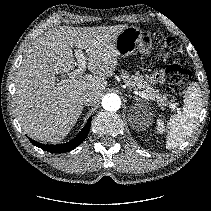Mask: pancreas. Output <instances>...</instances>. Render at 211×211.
Wrapping results in <instances>:
<instances>
[{
  "instance_id": "pancreas-1",
  "label": "pancreas",
  "mask_w": 211,
  "mask_h": 211,
  "mask_svg": "<svg viewBox=\"0 0 211 211\" xmlns=\"http://www.w3.org/2000/svg\"><path fill=\"white\" fill-rule=\"evenodd\" d=\"M123 78L126 80L128 86L135 90H142L151 100H156L162 108L166 107L168 102L167 95L161 94L159 90H155L144 77L140 74L130 76L127 73H123Z\"/></svg>"
}]
</instances>
